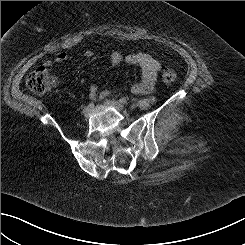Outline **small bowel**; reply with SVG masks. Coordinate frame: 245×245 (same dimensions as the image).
<instances>
[{"label": "small bowel", "mask_w": 245, "mask_h": 245, "mask_svg": "<svg viewBox=\"0 0 245 245\" xmlns=\"http://www.w3.org/2000/svg\"><path fill=\"white\" fill-rule=\"evenodd\" d=\"M87 57L92 56V52L86 53ZM67 54L65 52H59L56 54L53 60H47L44 62L45 67H50L54 63H61L66 60ZM110 62L113 65H136L141 69V80L131 86V92L133 94H148L155 86L157 75L161 69V64L158 60L149 54L137 52L130 54H121L119 52H113L110 55ZM89 94L92 99H103L111 94V91L105 90L98 92L97 86L91 85Z\"/></svg>", "instance_id": "obj_1"}]
</instances>
